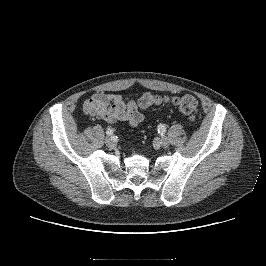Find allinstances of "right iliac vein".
<instances>
[{"instance_id": "1", "label": "right iliac vein", "mask_w": 266, "mask_h": 266, "mask_svg": "<svg viewBox=\"0 0 266 266\" xmlns=\"http://www.w3.org/2000/svg\"><path fill=\"white\" fill-rule=\"evenodd\" d=\"M105 143H106V145H107L109 148H111V149H113V148L116 147V142H115V140L112 139V138H107V139L105 140Z\"/></svg>"}]
</instances>
